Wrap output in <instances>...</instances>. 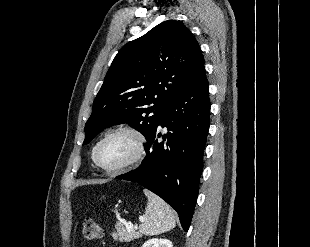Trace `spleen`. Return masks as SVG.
Here are the masks:
<instances>
[{"label": "spleen", "mask_w": 310, "mask_h": 247, "mask_svg": "<svg viewBox=\"0 0 310 247\" xmlns=\"http://www.w3.org/2000/svg\"><path fill=\"white\" fill-rule=\"evenodd\" d=\"M148 198L145 216L139 230L146 236H154L175 227V215L170 206L156 194L144 189Z\"/></svg>", "instance_id": "obj_1"}]
</instances>
